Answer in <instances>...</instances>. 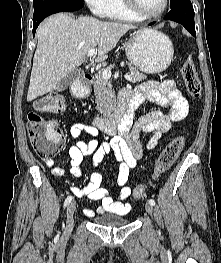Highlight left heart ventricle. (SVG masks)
<instances>
[{
	"instance_id": "obj_1",
	"label": "left heart ventricle",
	"mask_w": 221,
	"mask_h": 263,
	"mask_svg": "<svg viewBox=\"0 0 221 263\" xmlns=\"http://www.w3.org/2000/svg\"><path fill=\"white\" fill-rule=\"evenodd\" d=\"M137 3L143 13L152 14L162 8L164 0H137Z\"/></svg>"
}]
</instances>
